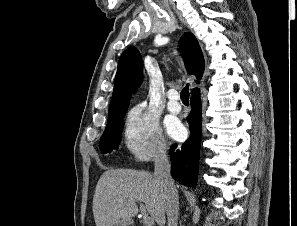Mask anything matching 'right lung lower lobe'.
<instances>
[{"label":"right lung lower lobe","instance_id":"obj_1","mask_svg":"<svg viewBox=\"0 0 297 226\" xmlns=\"http://www.w3.org/2000/svg\"><path fill=\"white\" fill-rule=\"evenodd\" d=\"M192 111L188 116L190 137L182 144L180 150L174 153L176 145L171 147V174L180 184L196 187L198 177L199 151L201 143V109L199 90L193 91L191 98Z\"/></svg>","mask_w":297,"mask_h":226}]
</instances>
